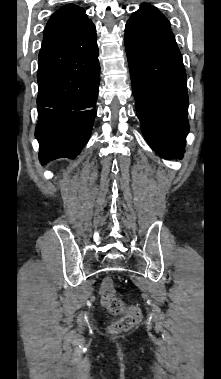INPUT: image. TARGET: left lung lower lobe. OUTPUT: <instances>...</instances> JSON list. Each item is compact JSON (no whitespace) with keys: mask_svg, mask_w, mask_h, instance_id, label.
<instances>
[{"mask_svg":"<svg viewBox=\"0 0 221 379\" xmlns=\"http://www.w3.org/2000/svg\"><path fill=\"white\" fill-rule=\"evenodd\" d=\"M137 117L148 144L165 158H182L189 131L186 71L167 18L141 5L125 28Z\"/></svg>","mask_w":221,"mask_h":379,"instance_id":"left-lung-lower-lobe-1","label":"left lung lower lobe"}]
</instances>
